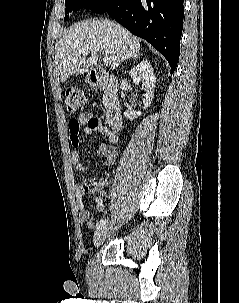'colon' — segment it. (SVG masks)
Instances as JSON below:
<instances>
[{
    "label": "colon",
    "instance_id": "5ec220e1",
    "mask_svg": "<svg viewBox=\"0 0 239 303\" xmlns=\"http://www.w3.org/2000/svg\"><path fill=\"white\" fill-rule=\"evenodd\" d=\"M65 104L67 111L75 114L87 108L88 98L82 90L70 87L65 92ZM87 187L89 190L95 191L98 186L94 182H89Z\"/></svg>",
    "mask_w": 239,
    "mask_h": 303
}]
</instances>
